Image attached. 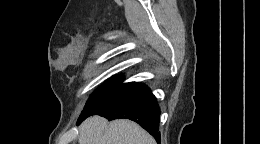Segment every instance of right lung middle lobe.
I'll use <instances>...</instances> for the list:
<instances>
[{"label":"right lung middle lobe","instance_id":"right-lung-middle-lobe-1","mask_svg":"<svg viewBox=\"0 0 260 144\" xmlns=\"http://www.w3.org/2000/svg\"><path fill=\"white\" fill-rule=\"evenodd\" d=\"M128 84L129 83L122 84L121 81H116L114 79L108 80L104 86L96 90L88 99L79 119L88 116L92 111L116 95Z\"/></svg>","mask_w":260,"mask_h":144}]
</instances>
